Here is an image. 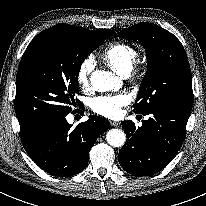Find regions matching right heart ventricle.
<instances>
[{"label":"right heart ventricle","mask_w":206,"mask_h":206,"mask_svg":"<svg viewBox=\"0 0 206 206\" xmlns=\"http://www.w3.org/2000/svg\"><path fill=\"white\" fill-rule=\"evenodd\" d=\"M102 58L115 72L120 75L129 73L137 58L136 48L127 42H114L102 53Z\"/></svg>","instance_id":"obj_1"}]
</instances>
